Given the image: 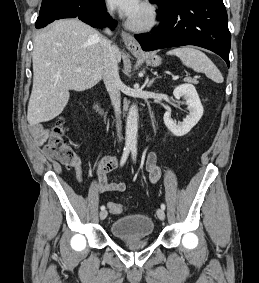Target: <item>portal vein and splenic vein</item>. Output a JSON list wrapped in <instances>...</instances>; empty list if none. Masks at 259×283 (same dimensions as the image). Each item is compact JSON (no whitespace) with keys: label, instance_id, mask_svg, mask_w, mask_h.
<instances>
[{"label":"portal vein and splenic vein","instance_id":"1","mask_svg":"<svg viewBox=\"0 0 259 283\" xmlns=\"http://www.w3.org/2000/svg\"><path fill=\"white\" fill-rule=\"evenodd\" d=\"M81 71V68H76V72H80ZM176 79H178V76H173V80H176Z\"/></svg>","mask_w":259,"mask_h":283}]
</instances>
